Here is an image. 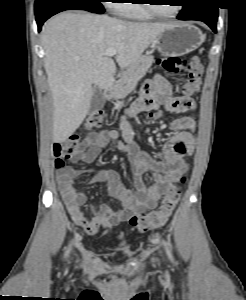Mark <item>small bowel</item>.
<instances>
[{
  "label": "small bowel",
  "instance_id": "obj_1",
  "mask_svg": "<svg viewBox=\"0 0 246 300\" xmlns=\"http://www.w3.org/2000/svg\"><path fill=\"white\" fill-rule=\"evenodd\" d=\"M163 106L171 114H180L195 107L189 96H176L174 86L163 76L155 75L144 84L140 98L125 112L120 121L123 141H118V148L130 155L133 165V184L135 194L122 183L118 170H88L92 174V183H106L108 194L122 205L121 210H114L108 204L92 207L93 217L87 219L80 211L87 198L74 186V179L84 173L68 165L56 172L57 182L73 222L84 228L87 233L95 234L110 229L124 222L131 213L152 209L168 188L177 181L187 169L186 157L195 149L193 130L195 121L190 116L174 119L169 128L173 132L162 150V159L157 160L149 154L139 152L133 144L134 131L130 117L140 111H147ZM115 130L99 131L88 134L79 151L78 160L91 164L100 151L112 140H118ZM150 173L154 177L152 185L147 186L142 175Z\"/></svg>",
  "mask_w": 246,
  "mask_h": 300
}]
</instances>
